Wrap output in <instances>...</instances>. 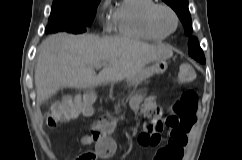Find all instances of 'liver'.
Wrapping results in <instances>:
<instances>
[{
  "instance_id": "6515ba94",
  "label": "liver",
  "mask_w": 242,
  "mask_h": 160,
  "mask_svg": "<svg viewBox=\"0 0 242 160\" xmlns=\"http://www.w3.org/2000/svg\"><path fill=\"white\" fill-rule=\"evenodd\" d=\"M173 51L125 37L57 33L39 47L35 68L37 100L42 103L64 87L89 88L130 80L151 62L166 60ZM106 65L97 75L94 67Z\"/></svg>"
}]
</instances>
